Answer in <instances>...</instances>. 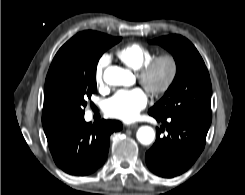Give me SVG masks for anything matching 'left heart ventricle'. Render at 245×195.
Segmentation results:
<instances>
[{
  "label": "left heart ventricle",
  "instance_id": "left-heart-ventricle-1",
  "mask_svg": "<svg viewBox=\"0 0 245 195\" xmlns=\"http://www.w3.org/2000/svg\"><path fill=\"white\" fill-rule=\"evenodd\" d=\"M167 74V66L165 64H160L154 71L152 75V82L155 85H158L163 82Z\"/></svg>",
  "mask_w": 245,
  "mask_h": 195
}]
</instances>
